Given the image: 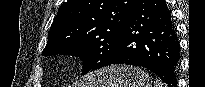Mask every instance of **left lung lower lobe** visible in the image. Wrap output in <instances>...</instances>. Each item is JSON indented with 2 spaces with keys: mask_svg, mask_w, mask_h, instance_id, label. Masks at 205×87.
<instances>
[{
  "mask_svg": "<svg viewBox=\"0 0 205 87\" xmlns=\"http://www.w3.org/2000/svg\"><path fill=\"white\" fill-rule=\"evenodd\" d=\"M179 58V41L166 1L137 0L116 52L104 66L126 64L144 67L168 86L176 87Z\"/></svg>",
  "mask_w": 205,
  "mask_h": 87,
  "instance_id": "obj_1",
  "label": "left lung lower lobe"
}]
</instances>
